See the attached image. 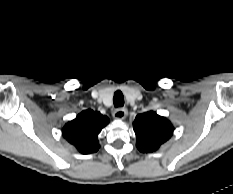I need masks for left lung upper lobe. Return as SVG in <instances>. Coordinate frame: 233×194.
<instances>
[{"mask_svg":"<svg viewBox=\"0 0 233 194\" xmlns=\"http://www.w3.org/2000/svg\"><path fill=\"white\" fill-rule=\"evenodd\" d=\"M133 127L137 148L143 153L156 151L173 134L171 123L153 111L137 115Z\"/></svg>","mask_w":233,"mask_h":194,"instance_id":"5c2ea615","label":"left lung upper lobe"}]
</instances>
